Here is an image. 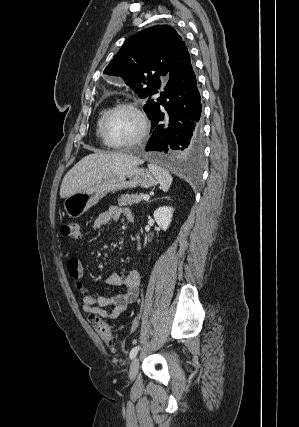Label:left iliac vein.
<instances>
[{
	"instance_id": "1",
	"label": "left iliac vein",
	"mask_w": 299,
	"mask_h": 427,
	"mask_svg": "<svg viewBox=\"0 0 299 427\" xmlns=\"http://www.w3.org/2000/svg\"><path fill=\"white\" fill-rule=\"evenodd\" d=\"M138 369H139V358L135 357L130 365V369H129V378L131 380H133L137 373H138Z\"/></svg>"
}]
</instances>
